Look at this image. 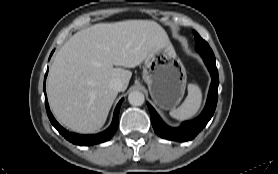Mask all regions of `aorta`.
Returning a JSON list of instances; mask_svg holds the SVG:
<instances>
[{
    "mask_svg": "<svg viewBox=\"0 0 278 174\" xmlns=\"http://www.w3.org/2000/svg\"><path fill=\"white\" fill-rule=\"evenodd\" d=\"M128 101L132 106H141L145 101V97L142 92L136 90L128 95Z\"/></svg>",
    "mask_w": 278,
    "mask_h": 174,
    "instance_id": "aorta-1",
    "label": "aorta"
}]
</instances>
